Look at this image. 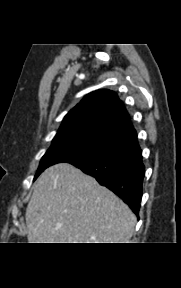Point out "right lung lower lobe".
Returning a JSON list of instances; mask_svg holds the SVG:
<instances>
[{
	"label": "right lung lower lobe",
	"instance_id": "1",
	"mask_svg": "<svg viewBox=\"0 0 181 288\" xmlns=\"http://www.w3.org/2000/svg\"><path fill=\"white\" fill-rule=\"evenodd\" d=\"M70 164L112 190L139 216L145 174L139 146L100 158L75 160Z\"/></svg>",
	"mask_w": 181,
	"mask_h": 288
}]
</instances>
